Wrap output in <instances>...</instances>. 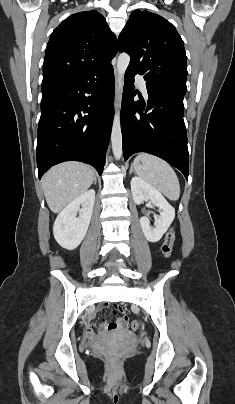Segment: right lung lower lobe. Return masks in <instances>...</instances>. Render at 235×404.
<instances>
[{"instance_id":"right-lung-lower-lobe-1","label":"right lung lower lobe","mask_w":235,"mask_h":404,"mask_svg":"<svg viewBox=\"0 0 235 404\" xmlns=\"http://www.w3.org/2000/svg\"><path fill=\"white\" fill-rule=\"evenodd\" d=\"M114 91L112 65L42 83L36 152L39 178L64 161L90 164L102 174L113 122Z\"/></svg>"}]
</instances>
